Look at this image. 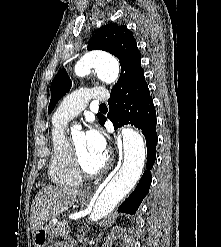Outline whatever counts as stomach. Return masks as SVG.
Instances as JSON below:
<instances>
[{
    "mask_svg": "<svg viewBox=\"0 0 221 247\" xmlns=\"http://www.w3.org/2000/svg\"><path fill=\"white\" fill-rule=\"evenodd\" d=\"M88 199V196L85 194H79V201L84 202ZM55 234L53 232L52 225L45 223L37 227L33 231V244L34 247H51V244L54 240Z\"/></svg>",
    "mask_w": 221,
    "mask_h": 247,
    "instance_id": "1",
    "label": "stomach"
}]
</instances>
